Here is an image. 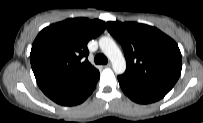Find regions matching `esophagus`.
Instances as JSON below:
<instances>
[{
	"mask_svg": "<svg viewBox=\"0 0 203 123\" xmlns=\"http://www.w3.org/2000/svg\"><path fill=\"white\" fill-rule=\"evenodd\" d=\"M105 67L110 68L111 67V63L106 64Z\"/></svg>",
	"mask_w": 203,
	"mask_h": 123,
	"instance_id": "esophagus-1",
	"label": "esophagus"
}]
</instances>
